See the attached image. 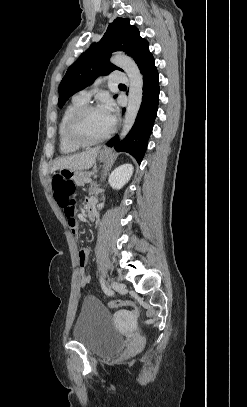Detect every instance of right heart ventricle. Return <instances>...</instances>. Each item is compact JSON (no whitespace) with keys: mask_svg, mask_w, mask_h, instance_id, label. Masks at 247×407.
<instances>
[{"mask_svg":"<svg viewBox=\"0 0 247 407\" xmlns=\"http://www.w3.org/2000/svg\"><path fill=\"white\" fill-rule=\"evenodd\" d=\"M84 104H85L84 101L73 98V100L66 106V108L63 111V114L58 125L59 150L63 154L75 153L79 151L82 147L70 141L67 135V125L72 114Z\"/></svg>","mask_w":247,"mask_h":407,"instance_id":"right-heart-ventricle-1","label":"right heart ventricle"}]
</instances>
